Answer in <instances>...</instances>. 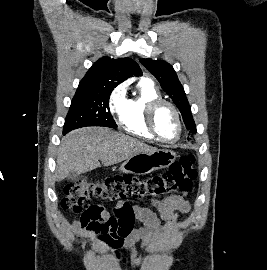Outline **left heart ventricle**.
<instances>
[{
  "instance_id": "obj_1",
  "label": "left heart ventricle",
  "mask_w": 267,
  "mask_h": 270,
  "mask_svg": "<svg viewBox=\"0 0 267 270\" xmlns=\"http://www.w3.org/2000/svg\"><path fill=\"white\" fill-rule=\"evenodd\" d=\"M155 125L158 133L166 140H174L178 134V123L174 112L168 106H162L156 113Z\"/></svg>"
}]
</instances>
